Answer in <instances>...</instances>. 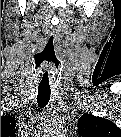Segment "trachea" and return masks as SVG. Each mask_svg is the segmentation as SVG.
I'll return each mask as SVG.
<instances>
[{
    "mask_svg": "<svg viewBox=\"0 0 121 137\" xmlns=\"http://www.w3.org/2000/svg\"><path fill=\"white\" fill-rule=\"evenodd\" d=\"M55 35L50 34L45 49L43 51V61L45 68L41 71V81L38 87V106L40 108L45 107L50 99V71L49 67L55 62Z\"/></svg>",
    "mask_w": 121,
    "mask_h": 137,
    "instance_id": "1",
    "label": "trachea"
}]
</instances>
